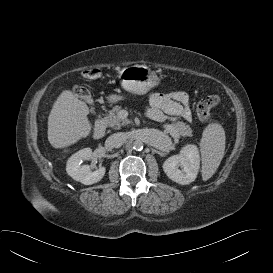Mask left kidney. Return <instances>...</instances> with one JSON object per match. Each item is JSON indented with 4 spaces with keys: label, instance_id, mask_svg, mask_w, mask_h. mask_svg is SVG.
<instances>
[{
    "label": "left kidney",
    "instance_id": "1",
    "mask_svg": "<svg viewBox=\"0 0 273 273\" xmlns=\"http://www.w3.org/2000/svg\"><path fill=\"white\" fill-rule=\"evenodd\" d=\"M200 168V155L197 146L188 144L180 154L169 157L163 164L166 175L174 182L186 185L193 182Z\"/></svg>",
    "mask_w": 273,
    "mask_h": 273
}]
</instances>
